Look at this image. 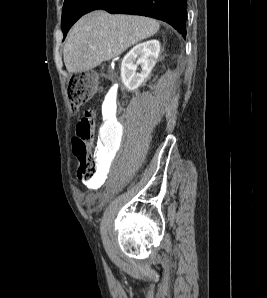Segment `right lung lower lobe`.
<instances>
[{
    "label": "right lung lower lobe",
    "mask_w": 267,
    "mask_h": 298,
    "mask_svg": "<svg viewBox=\"0 0 267 298\" xmlns=\"http://www.w3.org/2000/svg\"><path fill=\"white\" fill-rule=\"evenodd\" d=\"M186 0H97L90 11L148 16L167 22L186 36Z\"/></svg>",
    "instance_id": "1"
}]
</instances>
